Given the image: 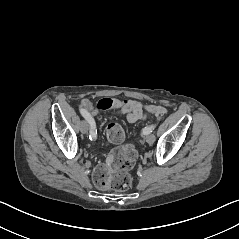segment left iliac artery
Instances as JSON below:
<instances>
[{
  "mask_svg": "<svg viewBox=\"0 0 239 239\" xmlns=\"http://www.w3.org/2000/svg\"><path fill=\"white\" fill-rule=\"evenodd\" d=\"M155 127H156V124L151 125V126H148V127H145V128L143 129V134H144V135L150 134L151 132H153V130L155 129Z\"/></svg>",
  "mask_w": 239,
  "mask_h": 239,
  "instance_id": "44dca946",
  "label": "left iliac artery"
}]
</instances>
